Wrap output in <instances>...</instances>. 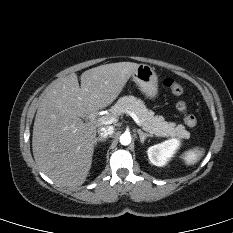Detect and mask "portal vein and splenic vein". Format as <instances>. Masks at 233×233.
<instances>
[{
    "instance_id": "1",
    "label": "portal vein and splenic vein",
    "mask_w": 233,
    "mask_h": 233,
    "mask_svg": "<svg viewBox=\"0 0 233 233\" xmlns=\"http://www.w3.org/2000/svg\"><path fill=\"white\" fill-rule=\"evenodd\" d=\"M127 113L129 114L130 117H132V119L135 121V123L138 125V126H141L140 124V120L139 118L137 117V115L132 112V111H127ZM99 122L101 124H112V123H115L117 122V117L114 116V115H109V116H103L99 119Z\"/></svg>"
}]
</instances>
